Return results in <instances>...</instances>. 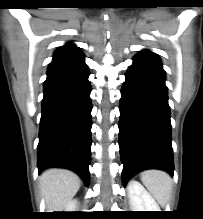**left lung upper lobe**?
Here are the masks:
<instances>
[{
	"label": "left lung upper lobe",
	"instance_id": "1",
	"mask_svg": "<svg viewBox=\"0 0 203 219\" xmlns=\"http://www.w3.org/2000/svg\"><path fill=\"white\" fill-rule=\"evenodd\" d=\"M136 56H144V57H149V58L157 59L156 55L153 52L148 51V50H143V51H141V54H138Z\"/></svg>",
	"mask_w": 203,
	"mask_h": 219
}]
</instances>
